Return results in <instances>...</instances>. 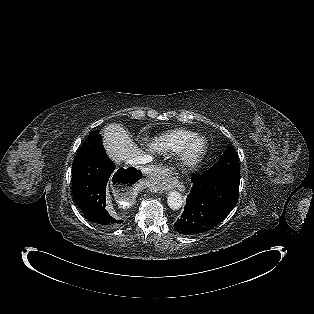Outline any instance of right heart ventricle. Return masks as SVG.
Here are the masks:
<instances>
[{
  "mask_svg": "<svg viewBox=\"0 0 314 314\" xmlns=\"http://www.w3.org/2000/svg\"><path fill=\"white\" fill-rule=\"evenodd\" d=\"M197 136L193 131L176 129L164 132L152 138L150 146L157 152L173 153L183 149L185 144Z\"/></svg>",
  "mask_w": 314,
  "mask_h": 314,
  "instance_id": "1",
  "label": "right heart ventricle"
}]
</instances>
